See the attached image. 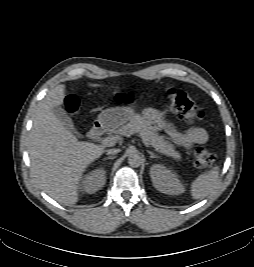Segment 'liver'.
<instances>
[{
	"label": "liver",
	"mask_w": 254,
	"mask_h": 267,
	"mask_svg": "<svg viewBox=\"0 0 254 267\" xmlns=\"http://www.w3.org/2000/svg\"><path fill=\"white\" fill-rule=\"evenodd\" d=\"M98 87V84H89ZM65 85L50 90L38 104L29 135L31 173L39 187L57 202L73 205L79 199V183L87 166L104 153V148L78 141L54 115L63 103Z\"/></svg>",
	"instance_id": "6515ba94"
}]
</instances>
